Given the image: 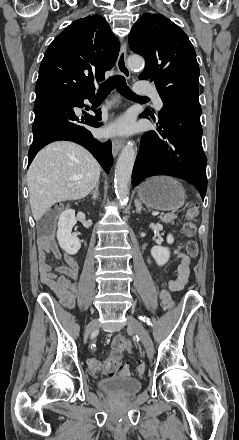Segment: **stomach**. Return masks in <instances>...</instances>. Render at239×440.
Here are the masks:
<instances>
[{"label":"stomach","instance_id":"obj_1","mask_svg":"<svg viewBox=\"0 0 239 440\" xmlns=\"http://www.w3.org/2000/svg\"><path fill=\"white\" fill-rule=\"evenodd\" d=\"M140 202L153 210H179L185 204L186 192L174 178L168 176H154L137 188Z\"/></svg>","mask_w":239,"mask_h":440}]
</instances>
